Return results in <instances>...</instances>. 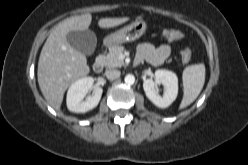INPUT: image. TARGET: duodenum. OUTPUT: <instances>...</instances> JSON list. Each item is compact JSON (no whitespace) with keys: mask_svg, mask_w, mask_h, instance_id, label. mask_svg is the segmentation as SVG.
<instances>
[{"mask_svg":"<svg viewBox=\"0 0 248 165\" xmlns=\"http://www.w3.org/2000/svg\"><path fill=\"white\" fill-rule=\"evenodd\" d=\"M142 61H143L142 58L140 57L137 58V63H140ZM104 66H105V61L103 57H98L93 63V70L95 73L99 74L103 71Z\"/></svg>","mask_w":248,"mask_h":165,"instance_id":"410a0bca","label":"duodenum"}]
</instances>
